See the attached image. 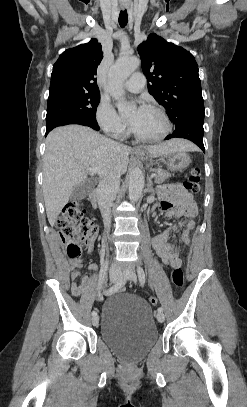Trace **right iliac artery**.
Masks as SVG:
<instances>
[{
	"instance_id": "82829eb1",
	"label": "right iliac artery",
	"mask_w": 247,
	"mask_h": 407,
	"mask_svg": "<svg viewBox=\"0 0 247 407\" xmlns=\"http://www.w3.org/2000/svg\"><path fill=\"white\" fill-rule=\"evenodd\" d=\"M126 281H127L126 278L121 279L119 282H117V283L114 284L112 287H110V288L108 289L107 293H108V294H112V293H115V292L119 291V290L126 284ZM96 315H97V312H96V311H93V312H92V316L94 317V316H96Z\"/></svg>"
}]
</instances>
